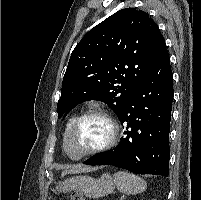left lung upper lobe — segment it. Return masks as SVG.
Segmentation results:
<instances>
[{"instance_id": "5c2ea615", "label": "left lung upper lobe", "mask_w": 201, "mask_h": 200, "mask_svg": "<svg viewBox=\"0 0 201 200\" xmlns=\"http://www.w3.org/2000/svg\"><path fill=\"white\" fill-rule=\"evenodd\" d=\"M166 52L164 38L147 13L119 10L91 29L73 50L57 104L58 118L89 100L106 103L119 116Z\"/></svg>"}]
</instances>
